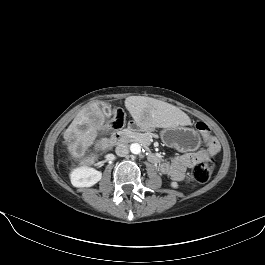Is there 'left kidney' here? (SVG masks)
Masks as SVG:
<instances>
[{"label": "left kidney", "mask_w": 265, "mask_h": 265, "mask_svg": "<svg viewBox=\"0 0 265 265\" xmlns=\"http://www.w3.org/2000/svg\"><path fill=\"white\" fill-rule=\"evenodd\" d=\"M171 186H172L173 188H177L178 185H177L176 182H172V183H171Z\"/></svg>", "instance_id": "1"}]
</instances>
